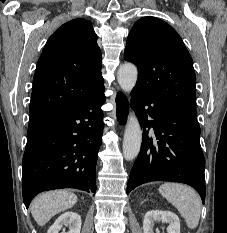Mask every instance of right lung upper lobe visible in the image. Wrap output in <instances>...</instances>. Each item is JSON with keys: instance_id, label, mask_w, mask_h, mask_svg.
Returning a JSON list of instances; mask_svg holds the SVG:
<instances>
[{"instance_id": "1", "label": "right lung upper lobe", "mask_w": 227, "mask_h": 233, "mask_svg": "<svg viewBox=\"0 0 227 233\" xmlns=\"http://www.w3.org/2000/svg\"><path fill=\"white\" fill-rule=\"evenodd\" d=\"M101 51L92 24L78 18L48 39L33 79L29 125H33L103 87Z\"/></svg>"}]
</instances>
